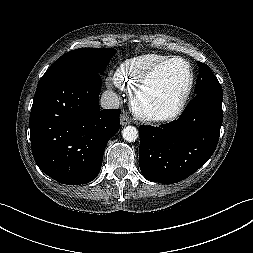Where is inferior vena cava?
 <instances>
[{"instance_id": "inferior-vena-cava-1", "label": "inferior vena cava", "mask_w": 253, "mask_h": 253, "mask_svg": "<svg viewBox=\"0 0 253 253\" xmlns=\"http://www.w3.org/2000/svg\"><path fill=\"white\" fill-rule=\"evenodd\" d=\"M100 105L104 109H117L120 105V98L112 90L104 91L100 99Z\"/></svg>"}]
</instances>
